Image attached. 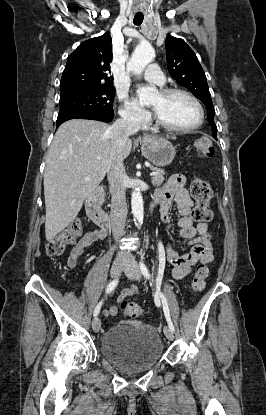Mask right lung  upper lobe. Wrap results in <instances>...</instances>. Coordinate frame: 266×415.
<instances>
[{"mask_svg":"<svg viewBox=\"0 0 266 415\" xmlns=\"http://www.w3.org/2000/svg\"><path fill=\"white\" fill-rule=\"evenodd\" d=\"M109 33L82 42L67 58L61 92L96 86H113L110 62L113 57Z\"/></svg>","mask_w":266,"mask_h":415,"instance_id":"right-lung-upper-lobe-1","label":"right lung upper lobe"}]
</instances>
